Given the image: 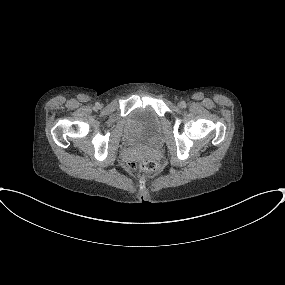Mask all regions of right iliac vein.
Instances as JSON below:
<instances>
[{"instance_id": "63e3f726", "label": "right iliac vein", "mask_w": 285, "mask_h": 285, "mask_svg": "<svg viewBox=\"0 0 285 285\" xmlns=\"http://www.w3.org/2000/svg\"><path fill=\"white\" fill-rule=\"evenodd\" d=\"M96 107L99 108V107H100V104L98 103V105H97Z\"/></svg>"}]
</instances>
